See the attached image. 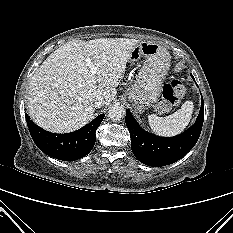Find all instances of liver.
Wrapping results in <instances>:
<instances>
[{"mask_svg":"<svg viewBox=\"0 0 233 233\" xmlns=\"http://www.w3.org/2000/svg\"><path fill=\"white\" fill-rule=\"evenodd\" d=\"M136 39L72 40L55 50L31 78L27 109L32 120L47 131L68 133L86 125L93 100L108 105L123 79ZM97 67L92 75L85 59Z\"/></svg>","mask_w":233,"mask_h":233,"instance_id":"6515ba94","label":"liver"}]
</instances>
